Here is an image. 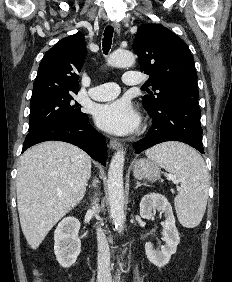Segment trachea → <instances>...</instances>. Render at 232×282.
Segmentation results:
<instances>
[{"label":"trachea","mask_w":232,"mask_h":282,"mask_svg":"<svg viewBox=\"0 0 232 282\" xmlns=\"http://www.w3.org/2000/svg\"><path fill=\"white\" fill-rule=\"evenodd\" d=\"M113 33H114V28L112 26H107L103 34L104 37L102 42L104 54H107L110 50Z\"/></svg>","instance_id":"3493384b"}]
</instances>
